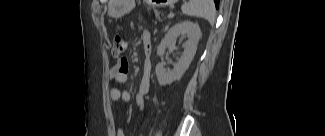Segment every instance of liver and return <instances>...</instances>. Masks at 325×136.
I'll return each instance as SVG.
<instances>
[{
	"label": "liver",
	"mask_w": 325,
	"mask_h": 136,
	"mask_svg": "<svg viewBox=\"0 0 325 136\" xmlns=\"http://www.w3.org/2000/svg\"><path fill=\"white\" fill-rule=\"evenodd\" d=\"M112 8H113V0H110L109 1V12H108L110 16H113V14H112Z\"/></svg>",
	"instance_id": "1"
}]
</instances>
